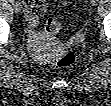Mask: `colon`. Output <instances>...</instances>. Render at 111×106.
I'll list each match as a JSON object with an SVG mask.
<instances>
[{
    "label": "colon",
    "mask_w": 111,
    "mask_h": 106,
    "mask_svg": "<svg viewBox=\"0 0 111 106\" xmlns=\"http://www.w3.org/2000/svg\"><path fill=\"white\" fill-rule=\"evenodd\" d=\"M62 28V23L56 18H49L44 26V32L48 35L57 34ZM75 54L72 51H62L57 59L56 65L58 67H70L75 62Z\"/></svg>",
    "instance_id": "1"
}]
</instances>
